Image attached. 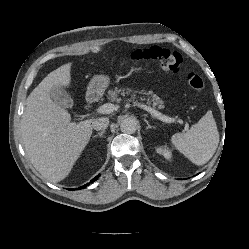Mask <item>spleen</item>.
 <instances>
[{
    "label": "spleen",
    "instance_id": "3e777b00",
    "mask_svg": "<svg viewBox=\"0 0 249 249\" xmlns=\"http://www.w3.org/2000/svg\"><path fill=\"white\" fill-rule=\"evenodd\" d=\"M171 142L192 163L196 165L207 163L219 143V132L212 111L209 110L186 133L174 134Z\"/></svg>",
    "mask_w": 249,
    "mask_h": 249
}]
</instances>
